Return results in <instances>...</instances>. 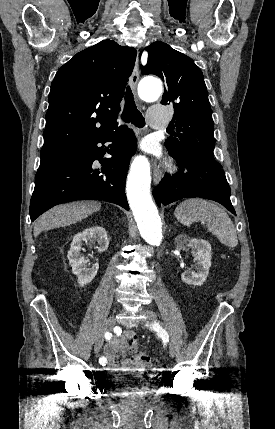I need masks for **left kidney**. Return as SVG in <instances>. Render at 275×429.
Segmentation results:
<instances>
[{
	"label": "left kidney",
	"mask_w": 275,
	"mask_h": 429,
	"mask_svg": "<svg viewBox=\"0 0 275 429\" xmlns=\"http://www.w3.org/2000/svg\"><path fill=\"white\" fill-rule=\"evenodd\" d=\"M178 248L192 247L197 250L194 258L196 271H185L181 274V279L189 285H202L209 274L211 266V245L208 241L197 238H190L186 234H180L175 239Z\"/></svg>",
	"instance_id": "5707ae66"
}]
</instances>
